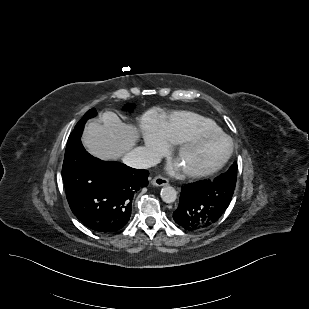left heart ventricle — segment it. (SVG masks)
<instances>
[{
  "mask_svg": "<svg viewBox=\"0 0 309 309\" xmlns=\"http://www.w3.org/2000/svg\"><path fill=\"white\" fill-rule=\"evenodd\" d=\"M228 143L221 138L204 139L184 151L178 158L179 166L184 169L203 170L215 165L226 153Z\"/></svg>",
  "mask_w": 309,
  "mask_h": 309,
  "instance_id": "left-heart-ventricle-1",
  "label": "left heart ventricle"
}]
</instances>
